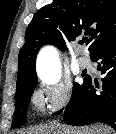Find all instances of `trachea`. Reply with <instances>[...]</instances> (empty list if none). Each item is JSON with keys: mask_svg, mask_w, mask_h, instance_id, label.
<instances>
[{"mask_svg": "<svg viewBox=\"0 0 116 134\" xmlns=\"http://www.w3.org/2000/svg\"><path fill=\"white\" fill-rule=\"evenodd\" d=\"M79 43H80V44H83V41H80Z\"/></svg>", "mask_w": 116, "mask_h": 134, "instance_id": "3493384b", "label": "trachea"}]
</instances>
